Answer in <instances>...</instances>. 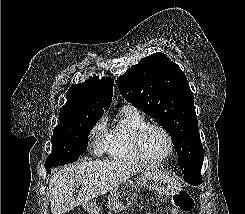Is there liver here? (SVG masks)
Segmentation results:
<instances>
[{
    "label": "liver",
    "mask_w": 245,
    "mask_h": 214,
    "mask_svg": "<svg viewBox=\"0 0 245 214\" xmlns=\"http://www.w3.org/2000/svg\"><path fill=\"white\" fill-rule=\"evenodd\" d=\"M139 168L126 160H88L65 167L49 181L52 214H63L117 188ZM86 184V185H85ZM81 186L78 196L73 197Z\"/></svg>",
    "instance_id": "liver-1"
}]
</instances>
